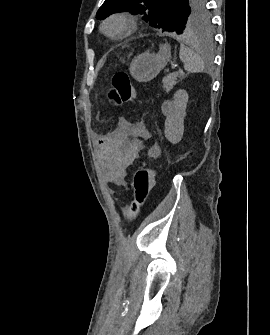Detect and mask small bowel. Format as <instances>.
<instances>
[{
	"mask_svg": "<svg viewBox=\"0 0 270 335\" xmlns=\"http://www.w3.org/2000/svg\"><path fill=\"white\" fill-rule=\"evenodd\" d=\"M138 137H148L143 126L124 118L119 121L114 134L97 137L98 161L103 170V177L108 183L119 187L126 186L129 168L141 149ZM148 152L155 158L161 154L157 145H152Z\"/></svg>",
	"mask_w": 270,
	"mask_h": 335,
	"instance_id": "1",
	"label": "small bowel"
}]
</instances>
